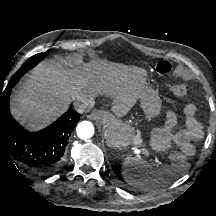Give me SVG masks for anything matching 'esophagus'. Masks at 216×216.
Here are the masks:
<instances>
[{"label":"esophagus","mask_w":216,"mask_h":216,"mask_svg":"<svg viewBox=\"0 0 216 216\" xmlns=\"http://www.w3.org/2000/svg\"><path fill=\"white\" fill-rule=\"evenodd\" d=\"M88 117L92 120H103L106 118V113L102 110H95Z\"/></svg>","instance_id":"1"}]
</instances>
